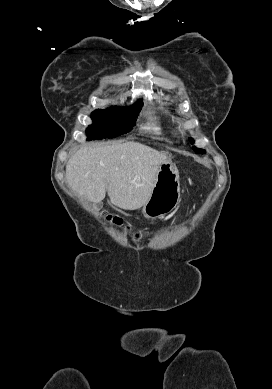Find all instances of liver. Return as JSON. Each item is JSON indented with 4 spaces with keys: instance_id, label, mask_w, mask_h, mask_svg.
<instances>
[{
    "instance_id": "liver-1",
    "label": "liver",
    "mask_w": 272,
    "mask_h": 389,
    "mask_svg": "<svg viewBox=\"0 0 272 389\" xmlns=\"http://www.w3.org/2000/svg\"><path fill=\"white\" fill-rule=\"evenodd\" d=\"M163 152L138 142L84 146L66 165L68 186L90 202L100 203L106 189L113 205L124 210L142 207L151 195Z\"/></svg>"
}]
</instances>
